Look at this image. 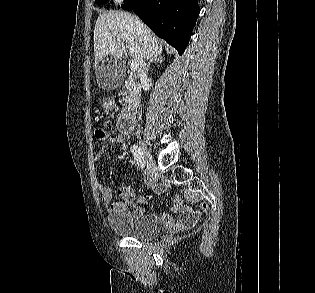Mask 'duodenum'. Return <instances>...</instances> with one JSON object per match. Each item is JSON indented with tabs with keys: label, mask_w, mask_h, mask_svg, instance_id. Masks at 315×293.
Masks as SVG:
<instances>
[{
	"label": "duodenum",
	"mask_w": 315,
	"mask_h": 293,
	"mask_svg": "<svg viewBox=\"0 0 315 293\" xmlns=\"http://www.w3.org/2000/svg\"><path fill=\"white\" fill-rule=\"evenodd\" d=\"M134 123V114L131 112H126L120 117L118 121V128L123 133H129L133 129Z\"/></svg>",
	"instance_id": "1"
}]
</instances>
